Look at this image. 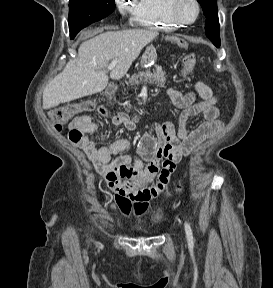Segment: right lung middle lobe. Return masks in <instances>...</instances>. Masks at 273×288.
I'll return each instance as SVG.
<instances>
[{
  "instance_id": "dd1d6c3e",
  "label": "right lung middle lobe",
  "mask_w": 273,
  "mask_h": 288,
  "mask_svg": "<svg viewBox=\"0 0 273 288\" xmlns=\"http://www.w3.org/2000/svg\"><path fill=\"white\" fill-rule=\"evenodd\" d=\"M114 9V0H70L68 17L70 37L73 39L82 28L107 17Z\"/></svg>"
}]
</instances>
